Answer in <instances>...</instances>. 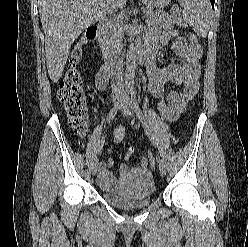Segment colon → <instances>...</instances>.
Returning <instances> with one entry per match:
<instances>
[{"label": "colon", "instance_id": "colon-1", "mask_svg": "<svg viewBox=\"0 0 248 247\" xmlns=\"http://www.w3.org/2000/svg\"><path fill=\"white\" fill-rule=\"evenodd\" d=\"M96 39V27H88L73 48L69 57L67 70L57 86V96L63 105L69 125L76 135L84 137L88 131V108L82 78L76 69L79 62L82 46ZM190 43L197 44L198 39L194 34L188 36ZM158 111L163 120H168L169 107L167 100L160 99ZM147 160L151 169L156 168V159L152 150L147 152Z\"/></svg>", "mask_w": 248, "mask_h": 247}]
</instances>
